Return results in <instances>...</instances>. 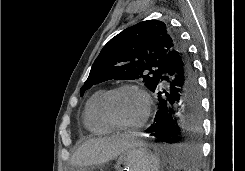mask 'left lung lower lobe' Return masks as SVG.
Segmentation results:
<instances>
[{
  "instance_id": "0a47b994",
  "label": "left lung lower lobe",
  "mask_w": 245,
  "mask_h": 171,
  "mask_svg": "<svg viewBox=\"0 0 245 171\" xmlns=\"http://www.w3.org/2000/svg\"><path fill=\"white\" fill-rule=\"evenodd\" d=\"M153 92L158 94L159 107L147 132L160 143H181L184 129L199 127L201 113L198 79L184 44L167 56L163 76ZM197 150V143L191 140L186 148H175L173 154L182 167H197L199 157H191L199 155Z\"/></svg>"
}]
</instances>
